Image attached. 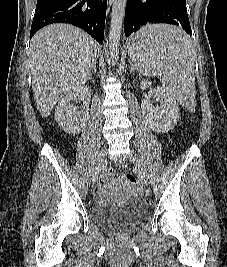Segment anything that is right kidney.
<instances>
[{
	"instance_id": "ca27d5eb",
	"label": "right kidney",
	"mask_w": 227,
	"mask_h": 267,
	"mask_svg": "<svg viewBox=\"0 0 227 267\" xmlns=\"http://www.w3.org/2000/svg\"><path fill=\"white\" fill-rule=\"evenodd\" d=\"M89 86H82L79 89L65 95L56 106L55 120L58 126L68 134H79L85 127L89 117ZM83 100V106L77 111L75 103Z\"/></svg>"
}]
</instances>
